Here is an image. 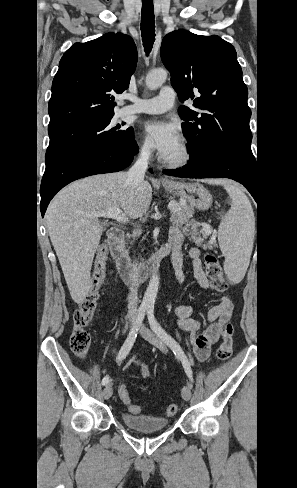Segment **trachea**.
<instances>
[{"instance_id": "1", "label": "trachea", "mask_w": 297, "mask_h": 488, "mask_svg": "<svg viewBox=\"0 0 297 488\" xmlns=\"http://www.w3.org/2000/svg\"><path fill=\"white\" fill-rule=\"evenodd\" d=\"M141 36L145 52L148 54L155 41L154 7L152 2H144L142 5Z\"/></svg>"}]
</instances>
